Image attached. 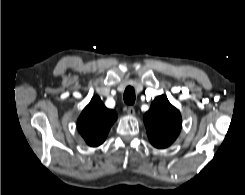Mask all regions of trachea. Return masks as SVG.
Listing matches in <instances>:
<instances>
[{
	"mask_svg": "<svg viewBox=\"0 0 245 195\" xmlns=\"http://www.w3.org/2000/svg\"><path fill=\"white\" fill-rule=\"evenodd\" d=\"M124 102L127 105H132L135 102V91L133 89V87H127L124 91Z\"/></svg>",
	"mask_w": 245,
	"mask_h": 195,
	"instance_id": "3493384b",
	"label": "trachea"
}]
</instances>
